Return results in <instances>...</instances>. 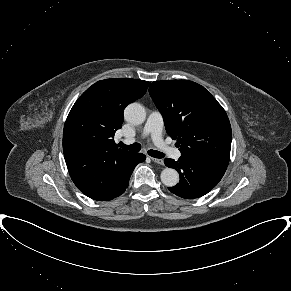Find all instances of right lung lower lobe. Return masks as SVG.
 Returning a JSON list of instances; mask_svg holds the SVG:
<instances>
[{
  "label": "right lung lower lobe",
  "mask_w": 291,
  "mask_h": 291,
  "mask_svg": "<svg viewBox=\"0 0 291 291\" xmlns=\"http://www.w3.org/2000/svg\"><path fill=\"white\" fill-rule=\"evenodd\" d=\"M145 159V155L133 153V155L118 171L117 175L115 176L114 182L109 184L107 188L101 193L91 198L97 201H109L123 194L128 187L129 179L133 172V169L138 163L145 161Z\"/></svg>",
  "instance_id": "obj_1"
}]
</instances>
